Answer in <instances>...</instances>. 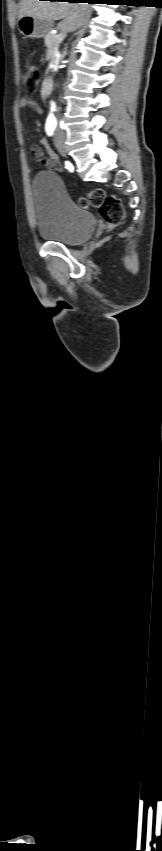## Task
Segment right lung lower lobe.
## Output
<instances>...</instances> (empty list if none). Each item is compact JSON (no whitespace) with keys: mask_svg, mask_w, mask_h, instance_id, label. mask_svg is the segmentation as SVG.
<instances>
[{"mask_svg":"<svg viewBox=\"0 0 162 851\" xmlns=\"http://www.w3.org/2000/svg\"><path fill=\"white\" fill-rule=\"evenodd\" d=\"M50 1H61V0H50ZM66 1H68V2H78V3H80V2H86V3L92 4V3H100L101 1H105V0H66Z\"/></svg>","mask_w":162,"mask_h":851,"instance_id":"1","label":"right lung lower lobe"}]
</instances>
